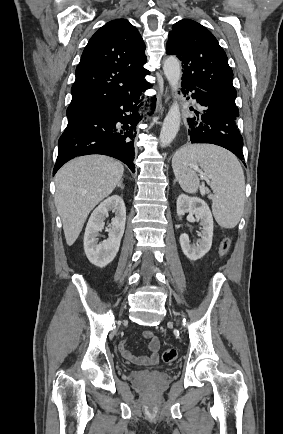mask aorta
I'll return each mask as SVG.
<instances>
[{
	"label": "aorta",
	"mask_w": 283,
	"mask_h": 434,
	"mask_svg": "<svg viewBox=\"0 0 283 434\" xmlns=\"http://www.w3.org/2000/svg\"><path fill=\"white\" fill-rule=\"evenodd\" d=\"M164 74L171 86L174 102L171 105L160 132V145L166 147L176 137L181 122L179 104L177 102L178 89L181 81V65L179 60L174 56H169L163 64Z\"/></svg>",
	"instance_id": "1"
}]
</instances>
